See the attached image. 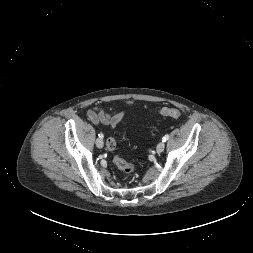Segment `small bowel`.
<instances>
[{
	"mask_svg": "<svg viewBox=\"0 0 253 253\" xmlns=\"http://www.w3.org/2000/svg\"><path fill=\"white\" fill-rule=\"evenodd\" d=\"M88 116L95 124L114 128L123 122L124 113L122 111H106L97 107L90 110Z\"/></svg>",
	"mask_w": 253,
	"mask_h": 253,
	"instance_id": "1",
	"label": "small bowel"
}]
</instances>
